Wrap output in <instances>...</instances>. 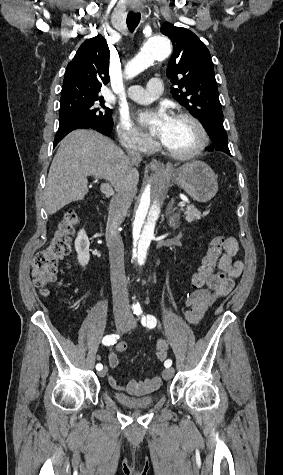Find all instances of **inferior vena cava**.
Here are the masks:
<instances>
[{"label": "inferior vena cava", "mask_w": 283, "mask_h": 475, "mask_svg": "<svg viewBox=\"0 0 283 475\" xmlns=\"http://www.w3.org/2000/svg\"><path fill=\"white\" fill-rule=\"evenodd\" d=\"M128 158L131 162L141 160L139 150H127ZM131 172V170H129ZM133 194L126 192L124 188L118 190L115 198H112L109 208L108 222L106 226V239L109 249L110 277L113 295L114 311H123L129 313L130 305L127 291V279L124 267V245L118 228L121 226L128 208L131 206Z\"/></svg>", "instance_id": "602c4592"}]
</instances>
